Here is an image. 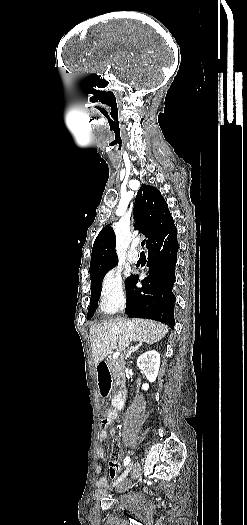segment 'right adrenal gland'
Masks as SVG:
<instances>
[{
  "instance_id": "1",
  "label": "right adrenal gland",
  "mask_w": 247,
  "mask_h": 525,
  "mask_svg": "<svg viewBox=\"0 0 247 525\" xmlns=\"http://www.w3.org/2000/svg\"><path fill=\"white\" fill-rule=\"evenodd\" d=\"M142 343H139V345H135V347H130L127 355L128 357H130V355H132V353H135V351H138L139 347H141Z\"/></svg>"
}]
</instances>
